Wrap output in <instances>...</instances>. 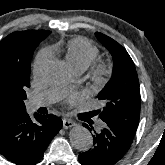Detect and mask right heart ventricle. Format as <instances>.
Here are the masks:
<instances>
[{
    "mask_svg": "<svg viewBox=\"0 0 165 165\" xmlns=\"http://www.w3.org/2000/svg\"><path fill=\"white\" fill-rule=\"evenodd\" d=\"M64 53L67 63L76 70L88 68L99 55V50L83 37H75L57 47Z\"/></svg>",
    "mask_w": 165,
    "mask_h": 165,
    "instance_id": "right-heart-ventricle-1",
    "label": "right heart ventricle"
}]
</instances>
